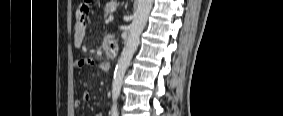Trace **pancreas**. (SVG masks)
<instances>
[{"mask_svg": "<svg viewBox=\"0 0 283 116\" xmlns=\"http://www.w3.org/2000/svg\"><path fill=\"white\" fill-rule=\"evenodd\" d=\"M119 3L117 1H110L107 3L105 9H104V18H107L109 15L112 14V8L117 7Z\"/></svg>", "mask_w": 283, "mask_h": 116, "instance_id": "cf45deb5", "label": "pancreas"}]
</instances>
